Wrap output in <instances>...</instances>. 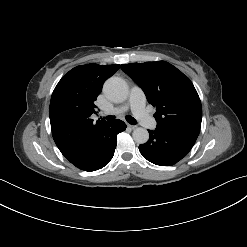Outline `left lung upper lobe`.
I'll use <instances>...</instances> for the list:
<instances>
[{"mask_svg": "<svg viewBox=\"0 0 247 247\" xmlns=\"http://www.w3.org/2000/svg\"><path fill=\"white\" fill-rule=\"evenodd\" d=\"M121 69L156 106V129L198 137L202 106L187 76L165 61L124 64Z\"/></svg>", "mask_w": 247, "mask_h": 247, "instance_id": "5c2ea615", "label": "left lung upper lobe"}]
</instances>
